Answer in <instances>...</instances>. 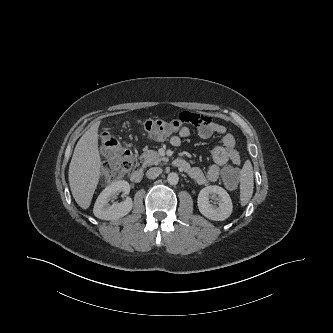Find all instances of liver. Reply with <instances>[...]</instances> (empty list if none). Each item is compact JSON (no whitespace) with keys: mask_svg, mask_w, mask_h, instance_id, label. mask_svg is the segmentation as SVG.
<instances>
[{"mask_svg":"<svg viewBox=\"0 0 333 333\" xmlns=\"http://www.w3.org/2000/svg\"><path fill=\"white\" fill-rule=\"evenodd\" d=\"M101 121L94 123L79 139L69 165V185L77 204L88 209L98 185L101 157L98 148V129Z\"/></svg>","mask_w":333,"mask_h":333,"instance_id":"liver-1","label":"liver"}]
</instances>
